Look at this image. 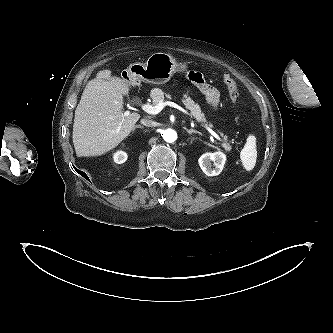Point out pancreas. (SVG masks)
<instances>
[{
    "mask_svg": "<svg viewBox=\"0 0 333 333\" xmlns=\"http://www.w3.org/2000/svg\"><path fill=\"white\" fill-rule=\"evenodd\" d=\"M153 104L157 105L160 102H164L165 99H171L172 96L170 94L164 93L161 89L159 88H154L151 90L150 94ZM185 107L191 111V114L197 118L200 122H206L204 113L201 111V108L198 104H196L187 94H183V97L181 99ZM223 147L226 151L231 150V146L227 143L223 144Z\"/></svg>",
    "mask_w": 333,
    "mask_h": 333,
    "instance_id": "obj_1",
    "label": "pancreas"
}]
</instances>
